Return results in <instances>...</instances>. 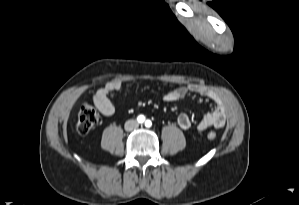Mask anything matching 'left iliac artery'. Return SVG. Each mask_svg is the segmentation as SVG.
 Wrapping results in <instances>:
<instances>
[{"label":"left iliac artery","mask_w":299,"mask_h":205,"mask_svg":"<svg viewBox=\"0 0 299 205\" xmlns=\"http://www.w3.org/2000/svg\"><path fill=\"white\" fill-rule=\"evenodd\" d=\"M151 125H152V122H151L150 120H147V121L145 122V126H146V127H151Z\"/></svg>","instance_id":"obj_1"}]
</instances>
